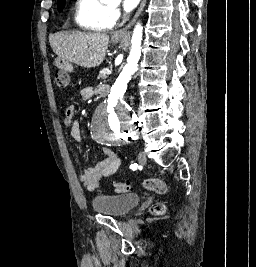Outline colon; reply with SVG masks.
Wrapping results in <instances>:
<instances>
[{
    "instance_id": "5ec220e1",
    "label": "colon",
    "mask_w": 256,
    "mask_h": 267,
    "mask_svg": "<svg viewBox=\"0 0 256 267\" xmlns=\"http://www.w3.org/2000/svg\"><path fill=\"white\" fill-rule=\"evenodd\" d=\"M55 82L60 88H66L70 84V73H62L59 68L55 71ZM142 186L147 191L166 192L167 186L164 181L158 178H147L143 180ZM113 188L116 192L125 193L132 190V185L126 182H115ZM151 210L155 214L163 213L166 205L163 202H157L152 205Z\"/></svg>"
}]
</instances>
